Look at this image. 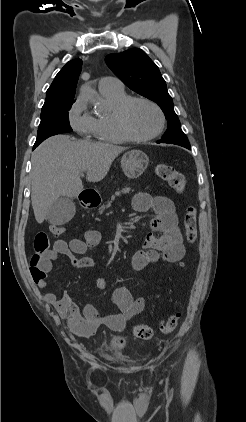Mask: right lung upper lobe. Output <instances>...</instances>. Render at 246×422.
<instances>
[{
    "label": "right lung upper lobe",
    "instance_id": "right-lung-upper-lobe-1",
    "mask_svg": "<svg viewBox=\"0 0 246 422\" xmlns=\"http://www.w3.org/2000/svg\"><path fill=\"white\" fill-rule=\"evenodd\" d=\"M81 67L82 61L73 59L60 70L46 92V100L43 106L74 100Z\"/></svg>",
    "mask_w": 246,
    "mask_h": 422
}]
</instances>
